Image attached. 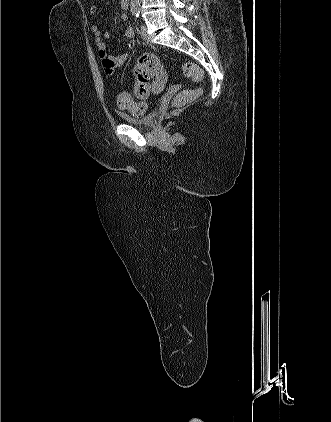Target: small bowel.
I'll list each match as a JSON object with an SVG mask.
<instances>
[{
	"label": "small bowel",
	"instance_id": "1",
	"mask_svg": "<svg viewBox=\"0 0 331 422\" xmlns=\"http://www.w3.org/2000/svg\"><path fill=\"white\" fill-rule=\"evenodd\" d=\"M121 6L123 9H125L122 5V2H121ZM96 12H97V6L93 4L90 7V14L94 15ZM121 19L126 20L127 15L122 14ZM91 31L94 35V40L98 49L99 58L101 60L104 71L106 75L112 76L116 68L124 65L129 60L132 51L136 47V40L134 39V35H135L134 29L132 26H128L125 29L124 35L127 39L130 40L128 43V50L118 55L111 54L107 51L105 39H107L110 36L109 32L103 31L96 24H93L91 26Z\"/></svg>",
	"mask_w": 331,
	"mask_h": 422
}]
</instances>
